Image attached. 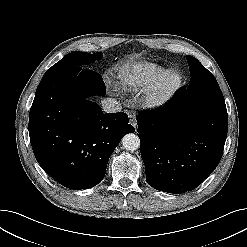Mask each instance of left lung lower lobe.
<instances>
[{
	"instance_id": "0a47b994",
	"label": "left lung lower lobe",
	"mask_w": 247,
	"mask_h": 247,
	"mask_svg": "<svg viewBox=\"0 0 247 247\" xmlns=\"http://www.w3.org/2000/svg\"><path fill=\"white\" fill-rule=\"evenodd\" d=\"M137 124L147 183L180 194L198 187L217 167L228 115L215 77L205 71L163 107L140 112Z\"/></svg>"
}]
</instances>
